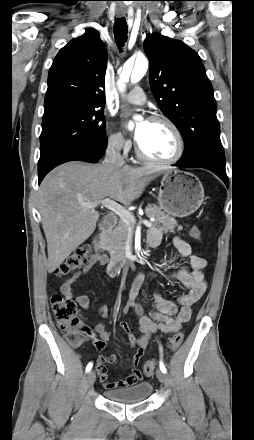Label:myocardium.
Returning a JSON list of instances; mask_svg holds the SVG:
<instances>
[{
    "instance_id": "1",
    "label": "myocardium",
    "mask_w": 254,
    "mask_h": 440,
    "mask_svg": "<svg viewBox=\"0 0 254 440\" xmlns=\"http://www.w3.org/2000/svg\"><path fill=\"white\" fill-rule=\"evenodd\" d=\"M150 122L164 123L168 127L171 128V130L174 132L176 139H177V151H176L175 155L169 159L158 160V159H154V158L147 156L142 151V149L140 148V146L137 142L136 148H135L137 157L146 163L153 164V165H161V166L171 165V164L178 162L182 158L184 151H185V140H184L183 134L180 131L179 127L171 119H169L168 117H165V116H161V115L152 116L150 118Z\"/></svg>"
}]
</instances>
